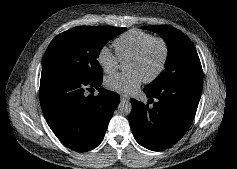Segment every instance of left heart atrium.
<instances>
[{
    "instance_id": "1",
    "label": "left heart atrium",
    "mask_w": 237,
    "mask_h": 169,
    "mask_svg": "<svg viewBox=\"0 0 237 169\" xmlns=\"http://www.w3.org/2000/svg\"><path fill=\"white\" fill-rule=\"evenodd\" d=\"M142 81L143 79L136 71H127L108 76L105 79V85L112 91L128 94L138 88Z\"/></svg>"
}]
</instances>
